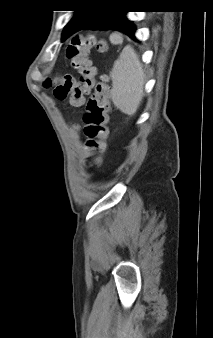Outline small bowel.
I'll return each instance as SVG.
<instances>
[{"label":"small bowel","instance_id":"obj_1","mask_svg":"<svg viewBox=\"0 0 213 338\" xmlns=\"http://www.w3.org/2000/svg\"><path fill=\"white\" fill-rule=\"evenodd\" d=\"M75 131H76V134H77V135L80 134V129H79V128H77Z\"/></svg>","mask_w":213,"mask_h":338}]
</instances>
